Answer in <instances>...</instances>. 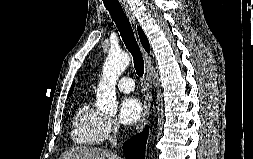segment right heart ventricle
<instances>
[{
  "label": "right heart ventricle",
  "mask_w": 253,
  "mask_h": 159,
  "mask_svg": "<svg viewBox=\"0 0 253 159\" xmlns=\"http://www.w3.org/2000/svg\"><path fill=\"white\" fill-rule=\"evenodd\" d=\"M105 117L93 108L88 100L83 101L71 118V140L82 147L98 146L104 142Z\"/></svg>",
  "instance_id": "e07e8e85"
}]
</instances>
